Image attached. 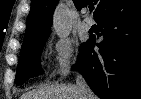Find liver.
Returning a JSON list of instances; mask_svg holds the SVG:
<instances>
[{"label": "liver", "instance_id": "6515ba94", "mask_svg": "<svg viewBox=\"0 0 141 99\" xmlns=\"http://www.w3.org/2000/svg\"><path fill=\"white\" fill-rule=\"evenodd\" d=\"M97 99V97H94ZM21 99H81L76 85L61 84L42 86L24 93Z\"/></svg>", "mask_w": 141, "mask_h": 99}]
</instances>
